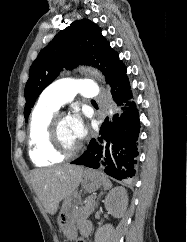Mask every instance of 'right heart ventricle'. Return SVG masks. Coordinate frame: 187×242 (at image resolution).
I'll return each instance as SVG.
<instances>
[{"mask_svg": "<svg viewBox=\"0 0 187 242\" xmlns=\"http://www.w3.org/2000/svg\"><path fill=\"white\" fill-rule=\"evenodd\" d=\"M55 113L56 109L40 101L32 112L28 136L29 156L37 166H49L63 160V158L50 151L46 140L47 126Z\"/></svg>", "mask_w": 187, "mask_h": 242, "instance_id": "e07e8e85", "label": "right heart ventricle"}]
</instances>
